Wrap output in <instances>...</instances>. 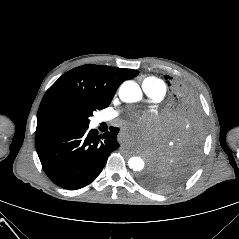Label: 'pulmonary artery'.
Listing matches in <instances>:
<instances>
[{"instance_id": "obj_1", "label": "pulmonary artery", "mask_w": 239, "mask_h": 239, "mask_svg": "<svg viewBox=\"0 0 239 239\" xmlns=\"http://www.w3.org/2000/svg\"><path fill=\"white\" fill-rule=\"evenodd\" d=\"M144 93L154 102L161 101L166 93V86L161 80H146L142 83ZM117 116V112L105 113L100 121H109Z\"/></svg>"}]
</instances>
